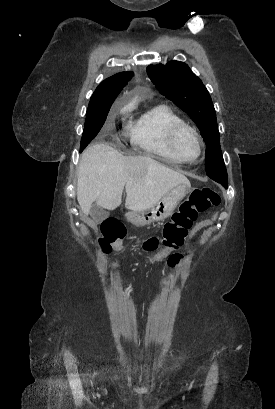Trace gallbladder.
Segmentation results:
<instances>
[{"label": "gallbladder", "mask_w": 275, "mask_h": 409, "mask_svg": "<svg viewBox=\"0 0 275 409\" xmlns=\"http://www.w3.org/2000/svg\"><path fill=\"white\" fill-rule=\"evenodd\" d=\"M90 217L92 221H94L95 225H100L103 223L105 219H108L109 213L107 211H103L101 207H97V205H92L90 209Z\"/></svg>", "instance_id": "gallbladder-1"}]
</instances>
